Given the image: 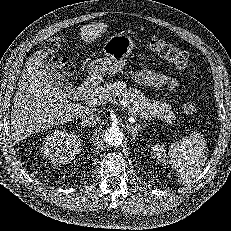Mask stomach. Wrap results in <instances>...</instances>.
Masks as SVG:
<instances>
[{"mask_svg": "<svg viewBox=\"0 0 231 231\" xmlns=\"http://www.w3.org/2000/svg\"><path fill=\"white\" fill-rule=\"evenodd\" d=\"M133 47V40L126 34L119 33L109 37L103 46L105 57L95 59L89 64L88 78L100 82L105 75L115 76L121 73Z\"/></svg>", "mask_w": 231, "mask_h": 231, "instance_id": "0dacf381", "label": "stomach"}]
</instances>
